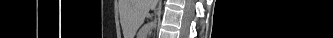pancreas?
Here are the masks:
<instances>
[{"mask_svg":"<svg viewBox=\"0 0 333 38\" xmlns=\"http://www.w3.org/2000/svg\"><path fill=\"white\" fill-rule=\"evenodd\" d=\"M148 29H149V26L144 27L143 30L140 32V36H143Z\"/></svg>","mask_w":333,"mask_h":38,"instance_id":"obj_1","label":"pancreas"}]
</instances>
